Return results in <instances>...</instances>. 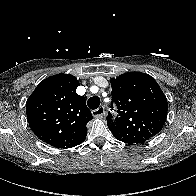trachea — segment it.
I'll use <instances>...</instances> for the list:
<instances>
[{"label": "trachea", "instance_id": "trachea-1", "mask_svg": "<svg viewBox=\"0 0 196 196\" xmlns=\"http://www.w3.org/2000/svg\"><path fill=\"white\" fill-rule=\"evenodd\" d=\"M87 105L90 109L95 110L100 105V98L98 96H93L88 99Z\"/></svg>", "mask_w": 196, "mask_h": 196}]
</instances>
